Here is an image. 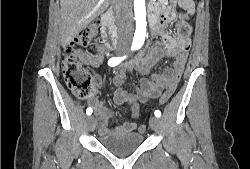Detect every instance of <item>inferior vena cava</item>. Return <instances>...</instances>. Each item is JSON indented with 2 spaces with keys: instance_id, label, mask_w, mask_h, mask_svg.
<instances>
[{
  "instance_id": "602c4592",
  "label": "inferior vena cava",
  "mask_w": 250,
  "mask_h": 169,
  "mask_svg": "<svg viewBox=\"0 0 250 169\" xmlns=\"http://www.w3.org/2000/svg\"><path fill=\"white\" fill-rule=\"evenodd\" d=\"M115 22L118 34L133 30L132 0H117Z\"/></svg>"
}]
</instances>
